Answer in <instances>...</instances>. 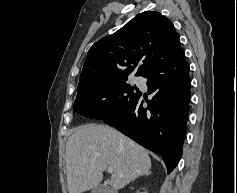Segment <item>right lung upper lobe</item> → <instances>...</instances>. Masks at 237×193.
Returning <instances> with one entry per match:
<instances>
[{"mask_svg": "<svg viewBox=\"0 0 237 193\" xmlns=\"http://www.w3.org/2000/svg\"><path fill=\"white\" fill-rule=\"evenodd\" d=\"M181 50L172 22L160 12L145 11L88 51L77 91L96 84L145 76L160 62Z\"/></svg>", "mask_w": 237, "mask_h": 193, "instance_id": "right-lung-upper-lobe-1", "label": "right lung upper lobe"}]
</instances>
